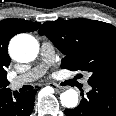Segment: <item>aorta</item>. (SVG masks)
I'll return each instance as SVG.
<instances>
[{
    "label": "aorta",
    "instance_id": "762f6f07",
    "mask_svg": "<svg viewBox=\"0 0 116 116\" xmlns=\"http://www.w3.org/2000/svg\"><path fill=\"white\" fill-rule=\"evenodd\" d=\"M39 49L37 40L29 34H19L15 36L9 45L11 57L22 63L33 60ZM61 103L66 108H75L78 104V93L74 89H68L60 95Z\"/></svg>",
    "mask_w": 116,
    "mask_h": 116
}]
</instances>
